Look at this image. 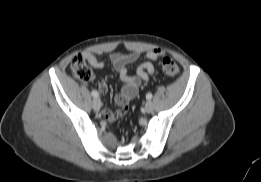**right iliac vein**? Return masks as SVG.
I'll list each match as a JSON object with an SVG mask.
<instances>
[{"label":"right iliac vein","instance_id":"obj_1","mask_svg":"<svg viewBox=\"0 0 261 182\" xmlns=\"http://www.w3.org/2000/svg\"><path fill=\"white\" fill-rule=\"evenodd\" d=\"M102 106V103L100 101V99L98 98H94L92 101V107L94 110L98 111Z\"/></svg>","mask_w":261,"mask_h":182}]
</instances>
